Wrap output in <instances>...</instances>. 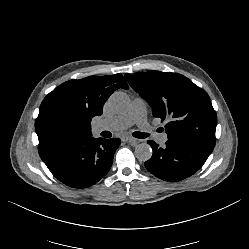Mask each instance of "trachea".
<instances>
[{
	"label": "trachea",
	"mask_w": 249,
	"mask_h": 249,
	"mask_svg": "<svg viewBox=\"0 0 249 249\" xmlns=\"http://www.w3.org/2000/svg\"><path fill=\"white\" fill-rule=\"evenodd\" d=\"M151 135V133H142V132H134L133 133V136L136 137V138H140V139H143V138H147ZM111 136V134H110Z\"/></svg>",
	"instance_id": "obj_1"
}]
</instances>
